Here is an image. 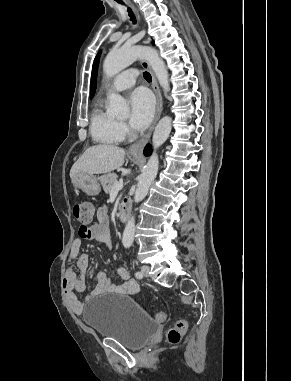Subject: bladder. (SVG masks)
I'll return each instance as SVG.
<instances>
[{
  "label": "bladder",
  "mask_w": 291,
  "mask_h": 381,
  "mask_svg": "<svg viewBox=\"0 0 291 381\" xmlns=\"http://www.w3.org/2000/svg\"><path fill=\"white\" fill-rule=\"evenodd\" d=\"M83 318L101 337L114 339L129 349H140L155 334L158 324L131 296L97 297Z\"/></svg>",
  "instance_id": "1"
}]
</instances>
